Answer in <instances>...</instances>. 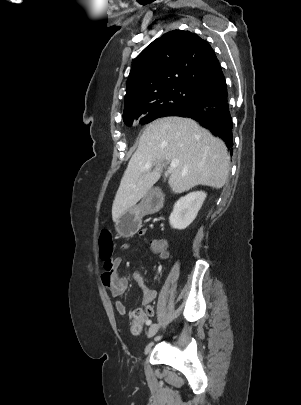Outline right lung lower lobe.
Segmentation results:
<instances>
[{
	"instance_id": "right-lung-lower-lobe-1",
	"label": "right lung lower lobe",
	"mask_w": 301,
	"mask_h": 405,
	"mask_svg": "<svg viewBox=\"0 0 301 405\" xmlns=\"http://www.w3.org/2000/svg\"><path fill=\"white\" fill-rule=\"evenodd\" d=\"M169 116L189 117L221 138L232 153L233 122L225 80L206 91L197 101L174 110Z\"/></svg>"
}]
</instances>
